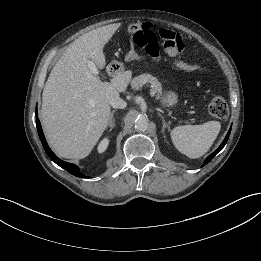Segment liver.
I'll return each mask as SVG.
<instances>
[{"label": "liver", "mask_w": 261, "mask_h": 261, "mask_svg": "<svg viewBox=\"0 0 261 261\" xmlns=\"http://www.w3.org/2000/svg\"><path fill=\"white\" fill-rule=\"evenodd\" d=\"M110 27L94 29L72 42L53 67L42 94L41 120L55 152L63 158L89 155L110 119V99L124 92L131 73L103 82L88 68V60L105 67L103 47Z\"/></svg>", "instance_id": "1"}]
</instances>
